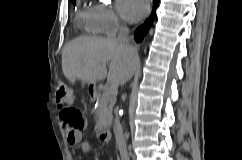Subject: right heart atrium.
Returning a JSON list of instances; mask_svg holds the SVG:
<instances>
[{"label":"right heart atrium","instance_id":"d8ad5b80","mask_svg":"<svg viewBox=\"0 0 242 160\" xmlns=\"http://www.w3.org/2000/svg\"><path fill=\"white\" fill-rule=\"evenodd\" d=\"M93 11L99 33L111 35L121 26V21L114 10L102 3L93 6Z\"/></svg>","mask_w":242,"mask_h":160}]
</instances>
